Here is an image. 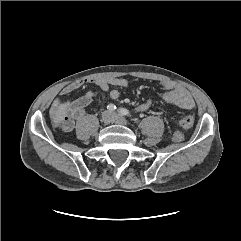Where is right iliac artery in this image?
<instances>
[{
	"instance_id": "obj_1",
	"label": "right iliac artery",
	"mask_w": 241,
	"mask_h": 241,
	"mask_svg": "<svg viewBox=\"0 0 241 241\" xmlns=\"http://www.w3.org/2000/svg\"><path fill=\"white\" fill-rule=\"evenodd\" d=\"M107 109L112 112V111H114L116 109V106L114 104H109L107 106Z\"/></svg>"
}]
</instances>
